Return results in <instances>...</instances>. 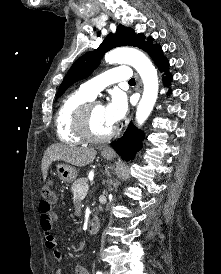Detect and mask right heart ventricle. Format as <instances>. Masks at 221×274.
<instances>
[{"label": "right heart ventricle", "instance_id": "right-heart-ventricle-1", "mask_svg": "<svg viewBox=\"0 0 221 274\" xmlns=\"http://www.w3.org/2000/svg\"><path fill=\"white\" fill-rule=\"evenodd\" d=\"M91 100L93 97L81 89L70 93L62 100L55 115V133L61 142L77 145L84 141L76 131L75 114L81 105Z\"/></svg>", "mask_w": 221, "mask_h": 274}]
</instances>
